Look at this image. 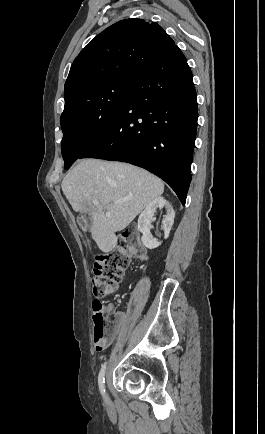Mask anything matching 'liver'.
Returning a JSON list of instances; mask_svg holds the SVG:
<instances>
[{
	"label": "liver",
	"instance_id": "obj_1",
	"mask_svg": "<svg viewBox=\"0 0 265 434\" xmlns=\"http://www.w3.org/2000/svg\"><path fill=\"white\" fill-rule=\"evenodd\" d=\"M61 186L74 212L91 216V236L102 252H111L117 244L115 232L125 230L164 192L163 182L146 170L102 160H80ZM120 198L132 200L112 204ZM92 200H98V206H93Z\"/></svg>",
	"mask_w": 265,
	"mask_h": 434
}]
</instances>
